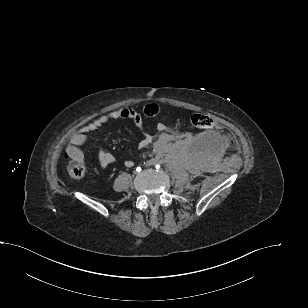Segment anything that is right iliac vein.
Here are the masks:
<instances>
[{
  "label": "right iliac vein",
  "instance_id": "obj_1",
  "mask_svg": "<svg viewBox=\"0 0 308 308\" xmlns=\"http://www.w3.org/2000/svg\"><path fill=\"white\" fill-rule=\"evenodd\" d=\"M133 173H134V174H137L138 172L135 170Z\"/></svg>",
  "mask_w": 308,
  "mask_h": 308
}]
</instances>
